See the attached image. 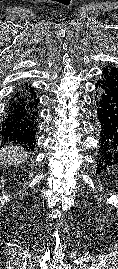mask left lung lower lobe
<instances>
[{"instance_id": "left-lung-lower-lobe-1", "label": "left lung lower lobe", "mask_w": 118, "mask_h": 269, "mask_svg": "<svg viewBox=\"0 0 118 269\" xmlns=\"http://www.w3.org/2000/svg\"><path fill=\"white\" fill-rule=\"evenodd\" d=\"M100 89L97 113L101 123L98 172L118 164V92L98 82Z\"/></svg>"}]
</instances>
